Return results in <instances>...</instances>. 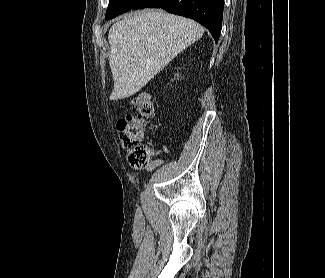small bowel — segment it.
Here are the masks:
<instances>
[{
	"label": "small bowel",
	"mask_w": 325,
	"mask_h": 278,
	"mask_svg": "<svg viewBox=\"0 0 325 278\" xmlns=\"http://www.w3.org/2000/svg\"><path fill=\"white\" fill-rule=\"evenodd\" d=\"M160 163H161V160H153V161L149 164L147 170L150 171V170L154 169V168H155L156 166H158Z\"/></svg>",
	"instance_id": "obj_1"
}]
</instances>
